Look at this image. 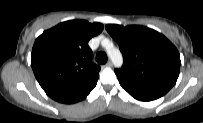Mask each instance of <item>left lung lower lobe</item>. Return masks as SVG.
<instances>
[{
    "label": "left lung lower lobe",
    "mask_w": 203,
    "mask_h": 123,
    "mask_svg": "<svg viewBox=\"0 0 203 123\" xmlns=\"http://www.w3.org/2000/svg\"><path fill=\"white\" fill-rule=\"evenodd\" d=\"M119 83L132 97L140 101H152L164 95L161 92L143 88L121 79H119Z\"/></svg>",
    "instance_id": "obj_1"
}]
</instances>
